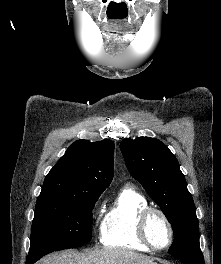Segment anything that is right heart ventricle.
Instances as JSON below:
<instances>
[{"label": "right heart ventricle", "instance_id": "right-heart-ventricle-1", "mask_svg": "<svg viewBox=\"0 0 221 264\" xmlns=\"http://www.w3.org/2000/svg\"><path fill=\"white\" fill-rule=\"evenodd\" d=\"M148 206L147 199L133 186L127 185L105 210L100 227L104 246L149 251L137 234V218Z\"/></svg>", "mask_w": 221, "mask_h": 264}]
</instances>
